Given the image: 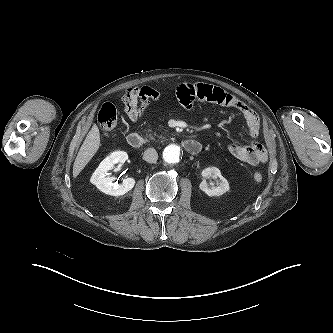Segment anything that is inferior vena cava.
Here are the masks:
<instances>
[{
  "label": "inferior vena cava",
  "instance_id": "1",
  "mask_svg": "<svg viewBox=\"0 0 333 333\" xmlns=\"http://www.w3.org/2000/svg\"><path fill=\"white\" fill-rule=\"evenodd\" d=\"M143 159L149 163H156L158 159V153L154 148H148L144 151Z\"/></svg>",
  "mask_w": 333,
  "mask_h": 333
}]
</instances>
